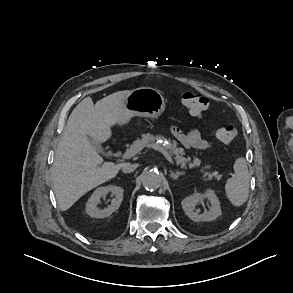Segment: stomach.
<instances>
[{"label":"stomach","instance_id":"1","mask_svg":"<svg viewBox=\"0 0 293 293\" xmlns=\"http://www.w3.org/2000/svg\"><path fill=\"white\" fill-rule=\"evenodd\" d=\"M126 115L119 124H126L133 116L158 119L165 111V99L162 94L151 87L132 90L124 100Z\"/></svg>","mask_w":293,"mask_h":293}]
</instances>
